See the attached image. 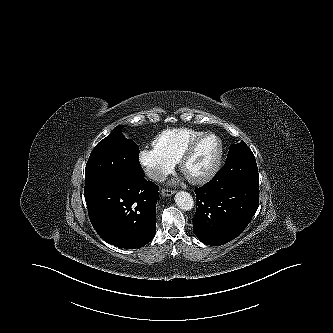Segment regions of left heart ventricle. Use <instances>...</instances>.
Returning <instances> with one entry per match:
<instances>
[{
	"instance_id": "1",
	"label": "left heart ventricle",
	"mask_w": 333,
	"mask_h": 333,
	"mask_svg": "<svg viewBox=\"0 0 333 333\" xmlns=\"http://www.w3.org/2000/svg\"><path fill=\"white\" fill-rule=\"evenodd\" d=\"M217 150L218 143L215 138L205 139L186 164L185 174L192 177L204 172L215 159Z\"/></svg>"
}]
</instances>
